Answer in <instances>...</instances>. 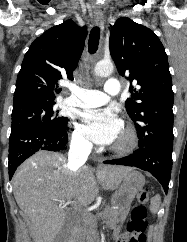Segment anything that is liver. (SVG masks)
Returning <instances> with one entry per match:
<instances>
[{
    "mask_svg": "<svg viewBox=\"0 0 187 242\" xmlns=\"http://www.w3.org/2000/svg\"><path fill=\"white\" fill-rule=\"evenodd\" d=\"M130 167L101 165L96 174L88 167L69 170L67 159L59 154L39 151L15 172L12 185L16 202L33 227L34 242H53L66 221L60 202L88 206L104 190L117 189Z\"/></svg>",
    "mask_w": 187,
    "mask_h": 242,
    "instance_id": "1",
    "label": "liver"
}]
</instances>
